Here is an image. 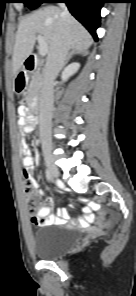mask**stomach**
Wrapping results in <instances>:
<instances>
[{
    "mask_svg": "<svg viewBox=\"0 0 136 296\" xmlns=\"http://www.w3.org/2000/svg\"><path fill=\"white\" fill-rule=\"evenodd\" d=\"M22 90H26V85H16V89L13 90V93L21 94Z\"/></svg>",
    "mask_w": 136,
    "mask_h": 296,
    "instance_id": "stomach-1",
    "label": "stomach"
}]
</instances>
